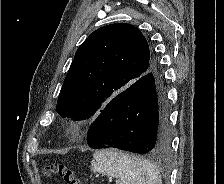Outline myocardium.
Instances as JSON below:
<instances>
[{
  "mask_svg": "<svg viewBox=\"0 0 224 184\" xmlns=\"http://www.w3.org/2000/svg\"><path fill=\"white\" fill-rule=\"evenodd\" d=\"M70 134H78L80 132V123L77 120L71 121L68 127Z\"/></svg>",
  "mask_w": 224,
  "mask_h": 184,
  "instance_id": "f54148a6",
  "label": "myocardium"
}]
</instances>
